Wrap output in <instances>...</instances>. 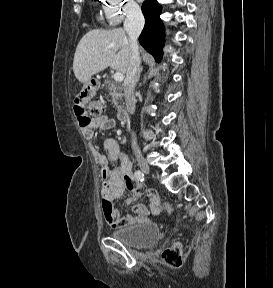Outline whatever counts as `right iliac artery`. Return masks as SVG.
<instances>
[{"instance_id":"right-iliac-artery-1","label":"right iliac artery","mask_w":273,"mask_h":288,"mask_svg":"<svg viewBox=\"0 0 273 288\" xmlns=\"http://www.w3.org/2000/svg\"><path fill=\"white\" fill-rule=\"evenodd\" d=\"M134 176L138 181H144V174L140 170L135 171Z\"/></svg>"}]
</instances>
